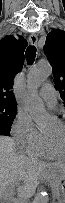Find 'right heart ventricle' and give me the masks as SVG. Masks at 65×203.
I'll use <instances>...</instances> for the list:
<instances>
[{
	"instance_id": "right-heart-ventricle-1",
	"label": "right heart ventricle",
	"mask_w": 65,
	"mask_h": 203,
	"mask_svg": "<svg viewBox=\"0 0 65 203\" xmlns=\"http://www.w3.org/2000/svg\"><path fill=\"white\" fill-rule=\"evenodd\" d=\"M29 156L34 158H41V159H57V157L53 155L49 149L47 140L44 136H42L41 142L32 150L28 152Z\"/></svg>"
}]
</instances>
